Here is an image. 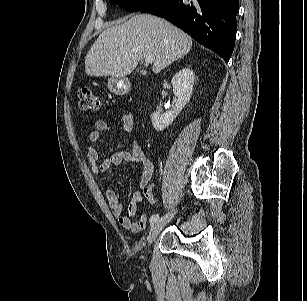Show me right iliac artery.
Instances as JSON below:
<instances>
[{
    "mask_svg": "<svg viewBox=\"0 0 307 301\" xmlns=\"http://www.w3.org/2000/svg\"><path fill=\"white\" fill-rule=\"evenodd\" d=\"M159 218V215L158 214H153L151 217H150V223L153 224L154 222H156Z\"/></svg>",
    "mask_w": 307,
    "mask_h": 301,
    "instance_id": "obj_1",
    "label": "right iliac artery"
}]
</instances>
